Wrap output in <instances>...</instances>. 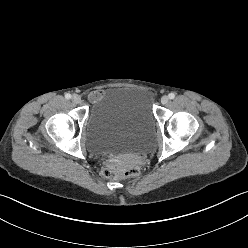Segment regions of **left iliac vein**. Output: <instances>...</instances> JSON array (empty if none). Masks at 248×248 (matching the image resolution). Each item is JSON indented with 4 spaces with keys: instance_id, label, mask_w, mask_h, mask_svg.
Listing matches in <instances>:
<instances>
[{
    "instance_id": "obj_1",
    "label": "left iliac vein",
    "mask_w": 248,
    "mask_h": 248,
    "mask_svg": "<svg viewBox=\"0 0 248 248\" xmlns=\"http://www.w3.org/2000/svg\"><path fill=\"white\" fill-rule=\"evenodd\" d=\"M169 102V97L167 95H164L161 97V103L162 104H167Z\"/></svg>"
}]
</instances>
